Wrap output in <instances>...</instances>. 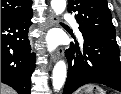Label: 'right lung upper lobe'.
Segmentation results:
<instances>
[{
    "instance_id": "cb5924a9",
    "label": "right lung upper lobe",
    "mask_w": 121,
    "mask_h": 94,
    "mask_svg": "<svg viewBox=\"0 0 121 94\" xmlns=\"http://www.w3.org/2000/svg\"><path fill=\"white\" fill-rule=\"evenodd\" d=\"M32 0H1V19L31 9Z\"/></svg>"
}]
</instances>
